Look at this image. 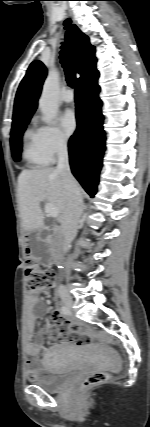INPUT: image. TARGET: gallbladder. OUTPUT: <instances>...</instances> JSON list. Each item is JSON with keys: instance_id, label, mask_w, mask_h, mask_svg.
<instances>
[{"instance_id": "obj_1", "label": "gallbladder", "mask_w": 150, "mask_h": 427, "mask_svg": "<svg viewBox=\"0 0 150 427\" xmlns=\"http://www.w3.org/2000/svg\"><path fill=\"white\" fill-rule=\"evenodd\" d=\"M32 255L39 259L42 264H49L52 261L51 253L47 244L42 241L32 240Z\"/></svg>"}]
</instances>
